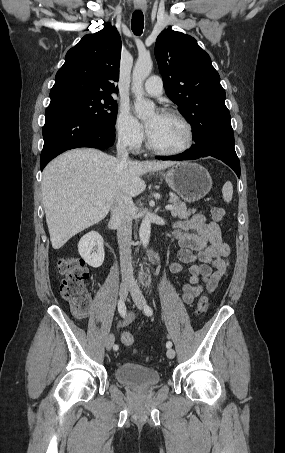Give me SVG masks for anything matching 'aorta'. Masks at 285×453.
<instances>
[{
  "label": "aorta",
  "mask_w": 285,
  "mask_h": 453,
  "mask_svg": "<svg viewBox=\"0 0 285 453\" xmlns=\"http://www.w3.org/2000/svg\"><path fill=\"white\" fill-rule=\"evenodd\" d=\"M153 62L149 56H139L132 72V91L135 95V112L139 118H146L153 114L155 104L145 99L142 92V86L145 79L150 75ZM151 223L148 217H145L140 225L139 237L142 245L147 247L150 240Z\"/></svg>",
  "instance_id": "aorta-1"
}]
</instances>
